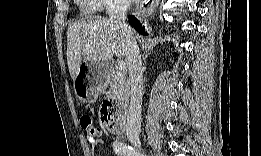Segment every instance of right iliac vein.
<instances>
[{"label": "right iliac vein", "instance_id": "obj_1", "mask_svg": "<svg viewBox=\"0 0 261 156\" xmlns=\"http://www.w3.org/2000/svg\"><path fill=\"white\" fill-rule=\"evenodd\" d=\"M139 149H142V145L140 143L136 144Z\"/></svg>", "mask_w": 261, "mask_h": 156}]
</instances>
